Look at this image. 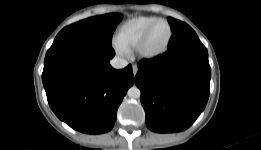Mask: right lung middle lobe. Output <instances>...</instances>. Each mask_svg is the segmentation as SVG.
Masks as SVG:
<instances>
[{
  "label": "right lung middle lobe",
  "instance_id": "dd1d6c3e",
  "mask_svg": "<svg viewBox=\"0 0 261 150\" xmlns=\"http://www.w3.org/2000/svg\"><path fill=\"white\" fill-rule=\"evenodd\" d=\"M121 18L122 15L112 13L79 21L61 30L52 45L66 41L111 45L112 34Z\"/></svg>",
  "mask_w": 261,
  "mask_h": 150
}]
</instances>
